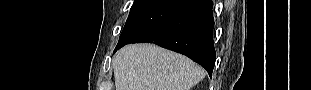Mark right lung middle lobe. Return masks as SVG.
<instances>
[{
  "label": "right lung middle lobe",
  "instance_id": "dd1d6c3e",
  "mask_svg": "<svg viewBox=\"0 0 311 90\" xmlns=\"http://www.w3.org/2000/svg\"><path fill=\"white\" fill-rule=\"evenodd\" d=\"M191 0H135L118 46L128 44L164 23Z\"/></svg>",
  "mask_w": 311,
  "mask_h": 90
}]
</instances>
